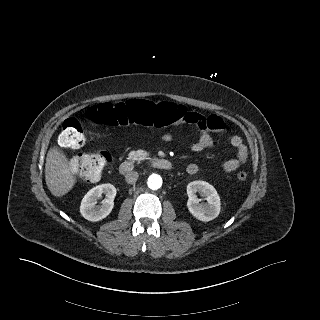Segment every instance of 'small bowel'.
<instances>
[{
    "instance_id": "small-bowel-1",
    "label": "small bowel",
    "mask_w": 320,
    "mask_h": 320,
    "mask_svg": "<svg viewBox=\"0 0 320 320\" xmlns=\"http://www.w3.org/2000/svg\"><path fill=\"white\" fill-rule=\"evenodd\" d=\"M181 107V106H180ZM182 108V117L174 122V124L187 123L194 124L198 127L197 140L191 145V149L195 152H199L210 148L213 145V136L211 131H221L224 128V122L217 116H204L198 112L188 111L184 107ZM172 136L166 134L163 139L165 141L171 140ZM230 144L236 151V157L226 160L223 163V170L227 173L236 171L240 166L245 164L248 158V149L242 138L238 135H234L230 138ZM199 171V166L195 163H191L186 167V172L189 175H194Z\"/></svg>"
}]
</instances>
